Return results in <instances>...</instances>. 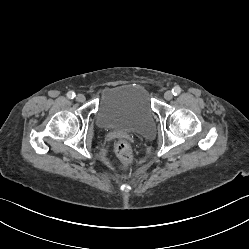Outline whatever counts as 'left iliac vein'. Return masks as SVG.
<instances>
[{
    "mask_svg": "<svg viewBox=\"0 0 249 249\" xmlns=\"http://www.w3.org/2000/svg\"><path fill=\"white\" fill-rule=\"evenodd\" d=\"M164 98H165L166 100H171V99L173 98V93H172L171 91H166V92L164 93Z\"/></svg>",
    "mask_w": 249,
    "mask_h": 249,
    "instance_id": "obj_1",
    "label": "left iliac vein"
}]
</instances>
